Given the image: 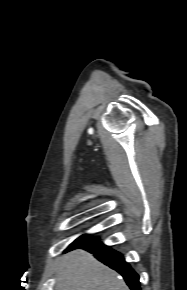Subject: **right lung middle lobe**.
Masks as SVG:
<instances>
[{
	"mask_svg": "<svg viewBox=\"0 0 187 290\" xmlns=\"http://www.w3.org/2000/svg\"><path fill=\"white\" fill-rule=\"evenodd\" d=\"M94 240H97V238L96 237H91L90 235L85 234V235H82L81 237H79L78 239H76L69 247L75 246V245H78V244H82V243L91 242V241H94Z\"/></svg>",
	"mask_w": 187,
	"mask_h": 290,
	"instance_id": "obj_1",
	"label": "right lung middle lobe"
}]
</instances>
